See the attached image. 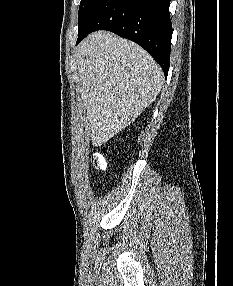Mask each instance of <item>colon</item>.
<instances>
[{
  "label": "colon",
  "mask_w": 233,
  "mask_h": 286,
  "mask_svg": "<svg viewBox=\"0 0 233 286\" xmlns=\"http://www.w3.org/2000/svg\"><path fill=\"white\" fill-rule=\"evenodd\" d=\"M92 161L95 167L101 171H104L107 168V158L101 153H95L92 156Z\"/></svg>",
  "instance_id": "obj_1"
}]
</instances>
